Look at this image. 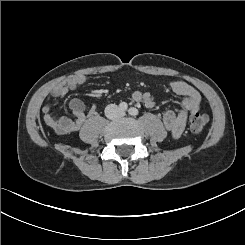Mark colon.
<instances>
[{
    "instance_id": "obj_1",
    "label": "colon",
    "mask_w": 245,
    "mask_h": 245,
    "mask_svg": "<svg viewBox=\"0 0 245 245\" xmlns=\"http://www.w3.org/2000/svg\"><path fill=\"white\" fill-rule=\"evenodd\" d=\"M208 122L209 117L207 114L195 112L190 119V129L195 133L202 132L206 128Z\"/></svg>"
}]
</instances>
